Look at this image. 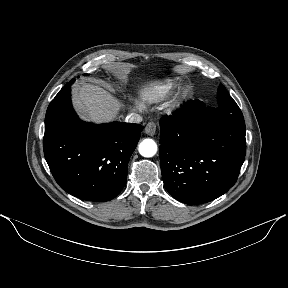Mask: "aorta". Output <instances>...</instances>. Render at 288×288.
I'll return each instance as SVG.
<instances>
[{
	"instance_id": "762f6f07",
	"label": "aorta",
	"mask_w": 288,
	"mask_h": 288,
	"mask_svg": "<svg viewBox=\"0 0 288 288\" xmlns=\"http://www.w3.org/2000/svg\"><path fill=\"white\" fill-rule=\"evenodd\" d=\"M138 149L143 157H152L157 152V144L152 139H145L139 144Z\"/></svg>"
}]
</instances>
